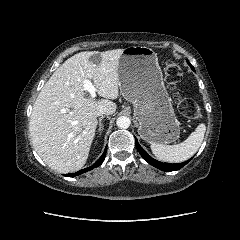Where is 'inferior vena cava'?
I'll return each instance as SVG.
<instances>
[{
	"instance_id": "obj_1",
	"label": "inferior vena cava",
	"mask_w": 240,
	"mask_h": 240,
	"mask_svg": "<svg viewBox=\"0 0 240 240\" xmlns=\"http://www.w3.org/2000/svg\"><path fill=\"white\" fill-rule=\"evenodd\" d=\"M97 116L110 115L107 110H100L96 114Z\"/></svg>"
}]
</instances>
